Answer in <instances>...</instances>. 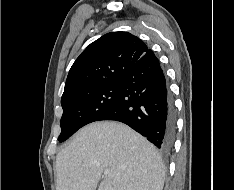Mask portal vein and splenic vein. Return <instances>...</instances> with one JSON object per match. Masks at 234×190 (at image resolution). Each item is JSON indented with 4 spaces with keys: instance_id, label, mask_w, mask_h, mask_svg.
<instances>
[{
    "instance_id": "18ae733b",
    "label": "portal vein and splenic vein",
    "mask_w": 234,
    "mask_h": 190,
    "mask_svg": "<svg viewBox=\"0 0 234 190\" xmlns=\"http://www.w3.org/2000/svg\"><path fill=\"white\" fill-rule=\"evenodd\" d=\"M109 174V170L104 171V175L107 176Z\"/></svg>"
}]
</instances>
